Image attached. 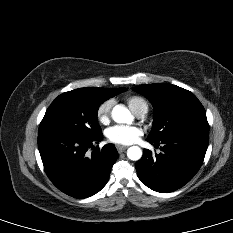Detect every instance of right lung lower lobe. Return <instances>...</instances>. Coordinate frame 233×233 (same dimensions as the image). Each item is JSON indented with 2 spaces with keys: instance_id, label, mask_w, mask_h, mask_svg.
<instances>
[{
  "instance_id": "obj_1",
  "label": "right lung lower lobe",
  "mask_w": 233,
  "mask_h": 233,
  "mask_svg": "<svg viewBox=\"0 0 233 233\" xmlns=\"http://www.w3.org/2000/svg\"><path fill=\"white\" fill-rule=\"evenodd\" d=\"M103 135L83 137L61 132L38 135V148L45 172L65 194L83 199L100 191L107 183L118 158L114 144L86 153ZM94 147H92L93 149Z\"/></svg>"
}]
</instances>
